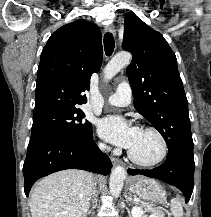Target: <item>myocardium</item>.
<instances>
[{
  "mask_svg": "<svg viewBox=\"0 0 211 217\" xmlns=\"http://www.w3.org/2000/svg\"><path fill=\"white\" fill-rule=\"evenodd\" d=\"M142 131H149V132H153L155 133L158 138L160 139L161 141V144H162V152H161V155L153 160V161H142V160H139L138 158H136L133 153L129 150L128 151V157L129 159L136 165H139V166H142V167H154V166H157L159 164H161L167 157L168 155V150H169V147H168V143H167V140L165 138V136L163 135V133L155 128V127H152V126H145L143 128H141Z\"/></svg>",
  "mask_w": 211,
  "mask_h": 217,
  "instance_id": "1",
  "label": "myocardium"
}]
</instances>
